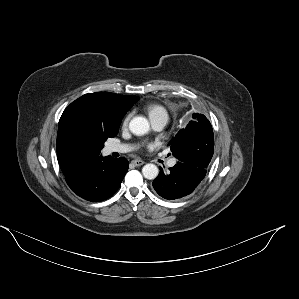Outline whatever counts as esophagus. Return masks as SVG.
<instances>
[{
  "label": "esophagus",
  "instance_id": "34e87169",
  "mask_svg": "<svg viewBox=\"0 0 299 299\" xmlns=\"http://www.w3.org/2000/svg\"><path fill=\"white\" fill-rule=\"evenodd\" d=\"M132 163L135 166H142L143 164H145V162L143 160H140V159H135V160L132 161Z\"/></svg>",
  "mask_w": 299,
  "mask_h": 299
}]
</instances>
